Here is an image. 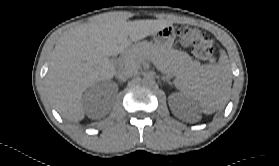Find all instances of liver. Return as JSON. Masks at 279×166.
Returning <instances> with one entry per match:
<instances>
[{"instance_id":"1","label":"liver","mask_w":279,"mask_h":166,"mask_svg":"<svg viewBox=\"0 0 279 166\" xmlns=\"http://www.w3.org/2000/svg\"><path fill=\"white\" fill-rule=\"evenodd\" d=\"M171 19L134 20L116 13L82 24L65 32L51 55L46 85L60 115L82 120L84 90L101 80H110L116 69L109 56H117L132 42L172 25Z\"/></svg>"}]
</instances>
